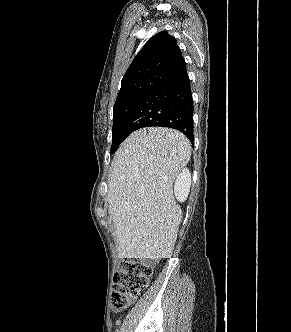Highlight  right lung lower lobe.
I'll return each instance as SVG.
<instances>
[{
  "mask_svg": "<svg viewBox=\"0 0 291 332\" xmlns=\"http://www.w3.org/2000/svg\"><path fill=\"white\" fill-rule=\"evenodd\" d=\"M193 99L186 69L155 87L137 106L124 127L125 136L143 127H169L193 143Z\"/></svg>",
  "mask_w": 291,
  "mask_h": 332,
  "instance_id": "1",
  "label": "right lung lower lobe"
}]
</instances>
